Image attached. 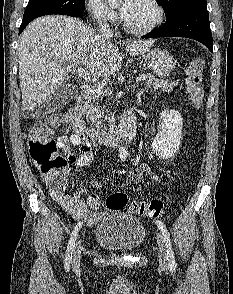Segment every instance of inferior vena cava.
Here are the masks:
<instances>
[{"mask_svg":"<svg viewBox=\"0 0 233 294\" xmlns=\"http://www.w3.org/2000/svg\"><path fill=\"white\" fill-rule=\"evenodd\" d=\"M99 32L100 36L104 39H111L113 37V33L109 27V25L106 23L105 19H99Z\"/></svg>","mask_w":233,"mask_h":294,"instance_id":"inferior-vena-cava-1","label":"inferior vena cava"}]
</instances>
